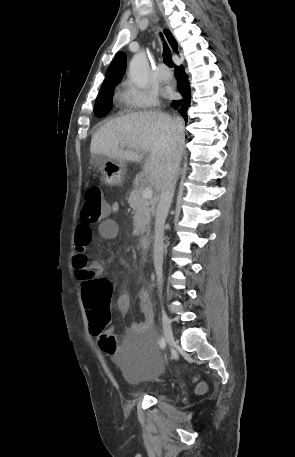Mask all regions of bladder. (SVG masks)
<instances>
[{
  "label": "bladder",
  "mask_w": 295,
  "mask_h": 457,
  "mask_svg": "<svg viewBox=\"0 0 295 457\" xmlns=\"http://www.w3.org/2000/svg\"><path fill=\"white\" fill-rule=\"evenodd\" d=\"M158 344V338H130L128 340V345L133 348L129 351L125 363L120 367L128 384L136 386L149 381L151 377H168V366L159 364L160 359L154 348L158 347Z\"/></svg>",
  "instance_id": "1"
}]
</instances>
